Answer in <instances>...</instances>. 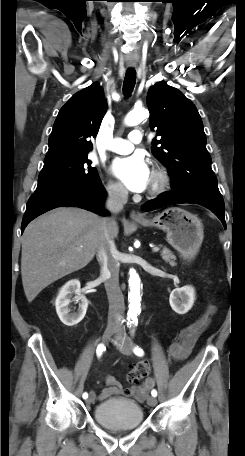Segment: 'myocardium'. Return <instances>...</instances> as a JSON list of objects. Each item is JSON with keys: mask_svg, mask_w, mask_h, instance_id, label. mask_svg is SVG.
Instances as JSON below:
<instances>
[{"mask_svg": "<svg viewBox=\"0 0 245 456\" xmlns=\"http://www.w3.org/2000/svg\"><path fill=\"white\" fill-rule=\"evenodd\" d=\"M152 182L149 186L148 193L152 196L163 193L170 184V175L166 168L155 166L151 172Z\"/></svg>", "mask_w": 245, "mask_h": 456, "instance_id": "f54148a6", "label": "myocardium"}]
</instances>
